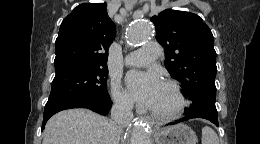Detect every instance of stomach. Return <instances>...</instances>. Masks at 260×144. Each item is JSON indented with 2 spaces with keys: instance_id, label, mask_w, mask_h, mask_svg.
Wrapping results in <instances>:
<instances>
[{
  "instance_id": "1",
  "label": "stomach",
  "mask_w": 260,
  "mask_h": 144,
  "mask_svg": "<svg viewBox=\"0 0 260 144\" xmlns=\"http://www.w3.org/2000/svg\"><path fill=\"white\" fill-rule=\"evenodd\" d=\"M156 144H197L195 132L185 124H177L157 130Z\"/></svg>"
}]
</instances>
